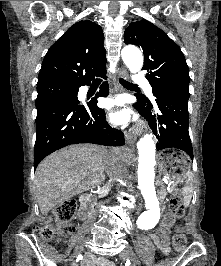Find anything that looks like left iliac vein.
Masks as SVG:
<instances>
[{"mask_svg":"<svg viewBox=\"0 0 221 266\" xmlns=\"http://www.w3.org/2000/svg\"><path fill=\"white\" fill-rule=\"evenodd\" d=\"M120 256L124 259H130L133 263V266H140V261L135 253L131 249H125Z\"/></svg>","mask_w":221,"mask_h":266,"instance_id":"obj_1","label":"left iliac vein"}]
</instances>
